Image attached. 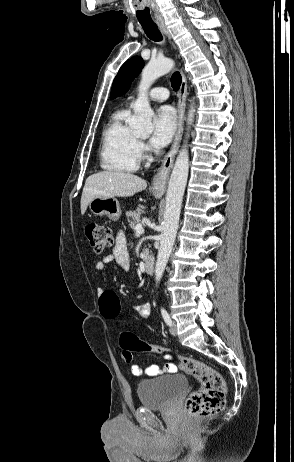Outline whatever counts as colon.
Segmentation results:
<instances>
[{
	"mask_svg": "<svg viewBox=\"0 0 294 462\" xmlns=\"http://www.w3.org/2000/svg\"><path fill=\"white\" fill-rule=\"evenodd\" d=\"M85 235L94 252L100 254L109 248L113 242V234L109 227L89 222L85 225ZM100 310L109 320L117 322L121 305L117 294L112 290H104L100 296ZM123 359L132 360L133 352L164 354L162 347L139 339L128 331L119 334ZM182 369L193 376L200 388L192 392L185 402V411L191 418L207 417L219 413L225 405L226 384L221 374L206 363L189 357H178Z\"/></svg>",
	"mask_w": 294,
	"mask_h": 462,
	"instance_id": "5ec220e1",
	"label": "colon"
}]
</instances>
